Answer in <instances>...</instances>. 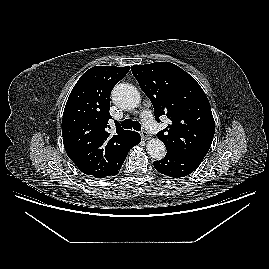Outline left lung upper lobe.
<instances>
[{
	"instance_id": "5c2ea615",
	"label": "left lung upper lobe",
	"mask_w": 269,
	"mask_h": 269,
	"mask_svg": "<svg viewBox=\"0 0 269 269\" xmlns=\"http://www.w3.org/2000/svg\"><path fill=\"white\" fill-rule=\"evenodd\" d=\"M132 73L151 100L155 119L171 124L157 134L167 153L205 157L215 133L208 98L196 80L169 62L134 65Z\"/></svg>"
}]
</instances>
